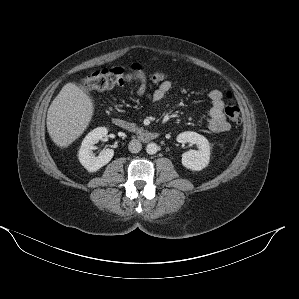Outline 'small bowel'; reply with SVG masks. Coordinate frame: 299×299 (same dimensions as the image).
I'll list each match as a JSON object with an SVG mask.
<instances>
[{
  "mask_svg": "<svg viewBox=\"0 0 299 299\" xmlns=\"http://www.w3.org/2000/svg\"><path fill=\"white\" fill-rule=\"evenodd\" d=\"M135 70H141L138 64L133 65ZM171 89V82L164 81L160 83L155 89L149 91L147 87V81L144 77L139 78L138 87L136 90V95L139 98L152 101V102H160L162 101L167 93ZM208 97L211 101V107L209 112V121L208 127L209 129L216 134H222L229 130L230 124L226 120L224 115V102H223V94L220 90L214 89L208 93Z\"/></svg>",
  "mask_w": 299,
  "mask_h": 299,
  "instance_id": "obj_1",
  "label": "small bowel"
}]
</instances>
